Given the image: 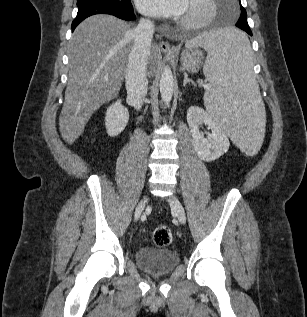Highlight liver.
I'll return each instance as SVG.
<instances>
[{
    "label": "liver",
    "instance_id": "1",
    "mask_svg": "<svg viewBox=\"0 0 307 317\" xmlns=\"http://www.w3.org/2000/svg\"><path fill=\"white\" fill-rule=\"evenodd\" d=\"M132 26L111 15H94L75 29L68 50L69 76L59 117L63 139L72 144L92 114L119 92L133 46ZM158 49L152 47L149 71L155 70Z\"/></svg>",
    "mask_w": 307,
    "mask_h": 317
}]
</instances>
